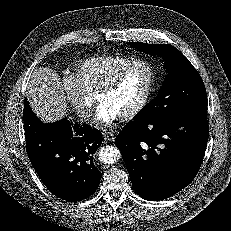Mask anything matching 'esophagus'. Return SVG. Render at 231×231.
I'll list each match as a JSON object with an SVG mask.
<instances>
[{
  "label": "esophagus",
  "instance_id": "obj_1",
  "mask_svg": "<svg viewBox=\"0 0 231 231\" xmlns=\"http://www.w3.org/2000/svg\"><path fill=\"white\" fill-rule=\"evenodd\" d=\"M114 140H115V134L113 132H108V131L104 132V141L106 143L113 142Z\"/></svg>",
  "mask_w": 231,
  "mask_h": 231
}]
</instances>
